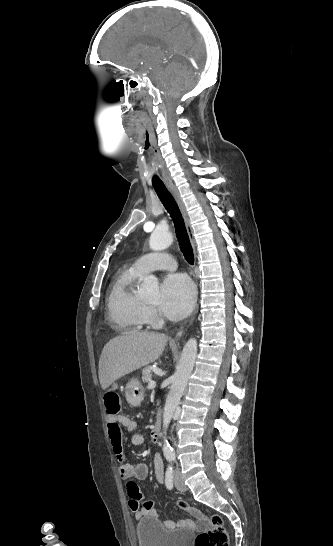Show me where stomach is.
I'll return each instance as SVG.
<instances>
[{
    "mask_svg": "<svg viewBox=\"0 0 333 546\" xmlns=\"http://www.w3.org/2000/svg\"><path fill=\"white\" fill-rule=\"evenodd\" d=\"M144 389L137 379H131L125 386V395L127 402L132 406H137L143 400Z\"/></svg>",
    "mask_w": 333,
    "mask_h": 546,
    "instance_id": "1",
    "label": "stomach"
}]
</instances>
